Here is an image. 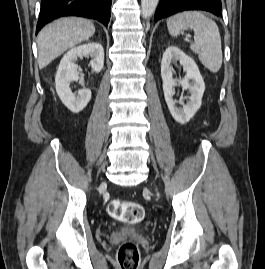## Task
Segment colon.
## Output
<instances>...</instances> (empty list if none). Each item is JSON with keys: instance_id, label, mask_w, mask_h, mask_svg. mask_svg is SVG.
Returning <instances> with one entry per match:
<instances>
[{"instance_id": "colon-1", "label": "colon", "mask_w": 265, "mask_h": 269, "mask_svg": "<svg viewBox=\"0 0 265 269\" xmlns=\"http://www.w3.org/2000/svg\"><path fill=\"white\" fill-rule=\"evenodd\" d=\"M108 213L111 217L127 222L137 223L142 220L144 211L136 202L112 200L108 204ZM139 260V252L132 241L123 242L118 249V262L121 269H136Z\"/></svg>"}]
</instances>
